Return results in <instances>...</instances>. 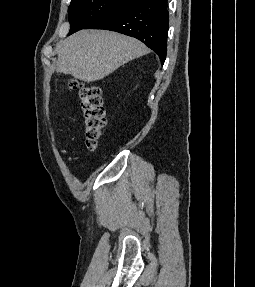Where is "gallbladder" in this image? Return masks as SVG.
Instances as JSON below:
<instances>
[{
    "instance_id": "1",
    "label": "gallbladder",
    "mask_w": 255,
    "mask_h": 287,
    "mask_svg": "<svg viewBox=\"0 0 255 287\" xmlns=\"http://www.w3.org/2000/svg\"><path fill=\"white\" fill-rule=\"evenodd\" d=\"M57 74H61V72H57Z\"/></svg>"
}]
</instances>
